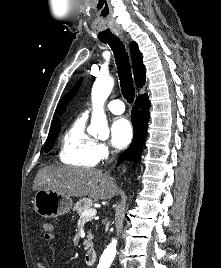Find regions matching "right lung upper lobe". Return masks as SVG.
I'll list each match as a JSON object with an SVG mask.
<instances>
[{"label":"right lung upper lobe","mask_w":221,"mask_h":268,"mask_svg":"<svg viewBox=\"0 0 221 268\" xmlns=\"http://www.w3.org/2000/svg\"><path fill=\"white\" fill-rule=\"evenodd\" d=\"M131 55H132V63H133V71H134V79L137 87H143L145 83V67L142 62V54L139 51L138 45L136 42L132 41L131 43ZM82 79H80L77 84L72 88V90L66 95V98H63L59 106L56 110V113L58 115H61L65 111V105L68 104V102L76 95L80 85H81ZM145 95V94H144ZM59 119L56 115H54L53 121H52V127L59 126Z\"/></svg>","instance_id":"right-lung-upper-lobe-1"}]
</instances>
